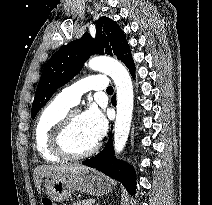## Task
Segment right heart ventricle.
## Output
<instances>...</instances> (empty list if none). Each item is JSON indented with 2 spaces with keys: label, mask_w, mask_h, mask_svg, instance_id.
<instances>
[{
  "label": "right heart ventricle",
  "mask_w": 212,
  "mask_h": 205,
  "mask_svg": "<svg viewBox=\"0 0 212 205\" xmlns=\"http://www.w3.org/2000/svg\"><path fill=\"white\" fill-rule=\"evenodd\" d=\"M70 107L56 97L44 107L36 121L34 129L35 148L40 156L48 162H59L62 159L52 151L50 135L55 125L68 112Z\"/></svg>",
  "instance_id": "right-heart-ventricle-1"
}]
</instances>
